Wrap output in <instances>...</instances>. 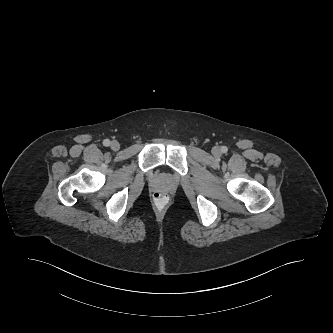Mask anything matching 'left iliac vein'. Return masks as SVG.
<instances>
[{
	"instance_id": "obj_1",
	"label": "left iliac vein",
	"mask_w": 333,
	"mask_h": 333,
	"mask_svg": "<svg viewBox=\"0 0 333 333\" xmlns=\"http://www.w3.org/2000/svg\"><path fill=\"white\" fill-rule=\"evenodd\" d=\"M212 153H213L214 156H220L221 150H220L219 147L216 146L212 149Z\"/></svg>"
}]
</instances>
